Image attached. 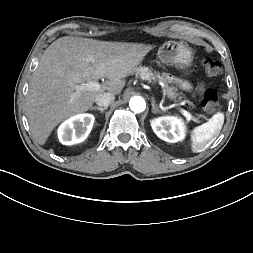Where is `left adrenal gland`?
<instances>
[{
  "label": "left adrenal gland",
  "mask_w": 253,
  "mask_h": 253,
  "mask_svg": "<svg viewBox=\"0 0 253 253\" xmlns=\"http://www.w3.org/2000/svg\"><path fill=\"white\" fill-rule=\"evenodd\" d=\"M152 112H153V113L159 112L158 107L155 105L154 99H152Z\"/></svg>",
  "instance_id": "obj_1"
}]
</instances>
